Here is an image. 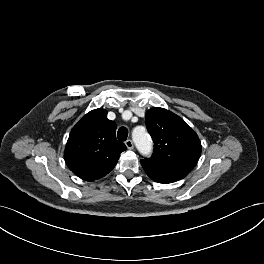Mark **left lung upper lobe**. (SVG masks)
Wrapping results in <instances>:
<instances>
[{"instance_id":"obj_1","label":"left lung upper lobe","mask_w":264,"mask_h":264,"mask_svg":"<svg viewBox=\"0 0 264 264\" xmlns=\"http://www.w3.org/2000/svg\"><path fill=\"white\" fill-rule=\"evenodd\" d=\"M145 124L154 142V153L146 160L190 172L201 155V142L192 128L159 107L147 111Z\"/></svg>"}]
</instances>
